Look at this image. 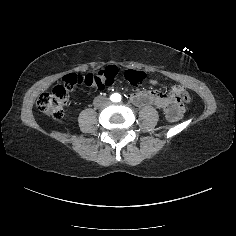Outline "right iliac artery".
Returning <instances> with one entry per match:
<instances>
[{
	"mask_svg": "<svg viewBox=\"0 0 236 236\" xmlns=\"http://www.w3.org/2000/svg\"><path fill=\"white\" fill-rule=\"evenodd\" d=\"M110 99H111V101H113V102L115 101V97H114L113 94L111 95Z\"/></svg>",
	"mask_w": 236,
	"mask_h": 236,
	"instance_id": "1",
	"label": "right iliac artery"
}]
</instances>
